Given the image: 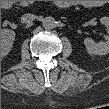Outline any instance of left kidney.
Returning <instances> with one entry per match:
<instances>
[{"label":"left kidney","instance_id":"obj_1","mask_svg":"<svg viewBox=\"0 0 109 109\" xmlns=\"http://www.w3.org/2000/svg\"><path fill=\"white\" fill-rule=\"evenodd\" d=\"M100 22L106 26L109 25L108 17H102ZM106 41L95 43L91 38L84 39L86 50L90 54L106 55L109 52V36L105 37Z\"/></svg>","mask_w":109,"mask_h":109}]
</instances>
